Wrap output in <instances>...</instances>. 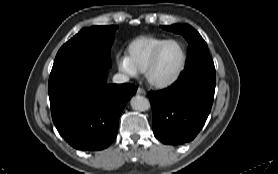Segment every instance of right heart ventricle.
<instances>
[{
  "label": "right heart ventricle",
  "instance_id": "right-heart-ventricle-1",
  "mask_svg": "<svg viewBox=\"0 0 278 174\" xmlns=\"http://www.w3.org/2000/svg\"><path fill=\"white\" fill-rule=\"evenodd\" d=\"M166 39L141 36L130 43L128 46V58L138 73L144 72L151 54Z\"/></svg>",
  "mask_w": 278,
  "mask_h": 174
}]
</instances>
